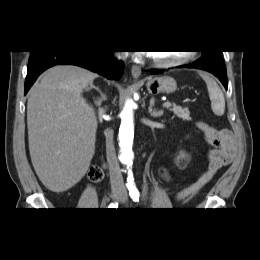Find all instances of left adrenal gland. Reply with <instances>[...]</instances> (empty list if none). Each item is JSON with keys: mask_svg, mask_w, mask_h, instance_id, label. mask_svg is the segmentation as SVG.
<instances>
[{"mask_svg": "<svg viewBox=\"0 0 260 260\" xmlns=\"http://www.w3.org/2000/svg\"><path fill=\"white\" fill-rule=\"evenodd\" d=\"M154 103H155V99H154V97H152L150 99V105H149V108H148V112L154 118L161 117L163 115V111L162 110L157 111L156 109H153Z\"/></svg>", "mask_w": 260, "mask_h": 260, "instance_id": "obj_1", "label": "left adrenal gland"}]
</instances>
